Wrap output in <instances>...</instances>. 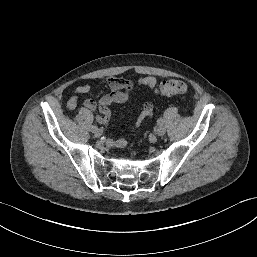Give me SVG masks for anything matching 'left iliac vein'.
Returning <instances> with one entry per match:
<instances>
[{"label": "left iliac vein", "instance_id": "obj_1", "mask_svg": "<svg viewBox=\"0 0 257 257\" xmlns=\"http://www.w3.org/2000/svg\"><path fill=\"white\" fill-rule=\"evenodd\" d=\"M165 132H166V129H165V127H164L163 125L157 126V128H156V134H157L158 136H163V135L165 134Z\"/></svg>", "mask_w": 257, "mask_h": 257}]
</instances>
